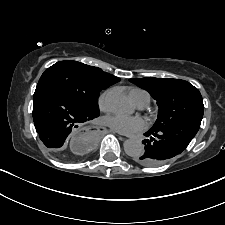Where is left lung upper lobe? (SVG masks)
<instances>
[{
    "label": "left lung upper lobe",
    "mask_w": 225,
    "mask_h": 225,
    "mask_svg": "<svg viewBox=\"0 0 225 225\" xmlns=\"http://www.w3.org/2000/svg\"><path fill=\"white\" fill-rule=\"evenodd\" d=\"M129 81L148 91L157 101L158 118L152 130L161 131L185 122L201 123L204 113L202 96L189 82L152 77Z\"/></svg>",
    "instance_id": "obj_1"
}]
</instances>
